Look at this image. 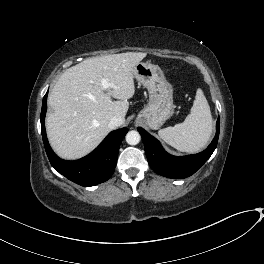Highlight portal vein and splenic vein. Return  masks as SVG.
I'll return each instance as SVG.
<instances>
[{
    "mask_svg": "<svg viewBox=\"0 0 264 264\" xmlns=\"http://www.w3.org/2000/svg\"><path fill=\"white\" fill-rule=\"evenodd\" d=\"M101 84H102V86H103V88H104L105 90H108V89H110V88H115V86H114L113 84L107 82L106 79H102V80H101Z\"/></svg>",
    "mask_w": 264,
    "mask_h": 264,
    "instance_id": "1",
    "label": "portal vein and splenic vein"
}]
</instances>
